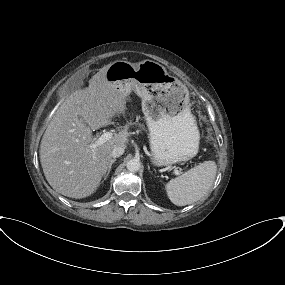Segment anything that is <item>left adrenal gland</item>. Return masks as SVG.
<instances>
[{"instance_id":"1","label":"left adrenal gland","mask_w":285,"mask_h":285,"mask_svg":"<svg viewBox=\"0 0 285 285\" xmlns=\"http://www.w3.org/2000/svg\"><path fill=\"white\" fill-rule=\"evenodd\" d=\"M148 170H150V166L148 165Z\"/></svg>"}]
</instances>
